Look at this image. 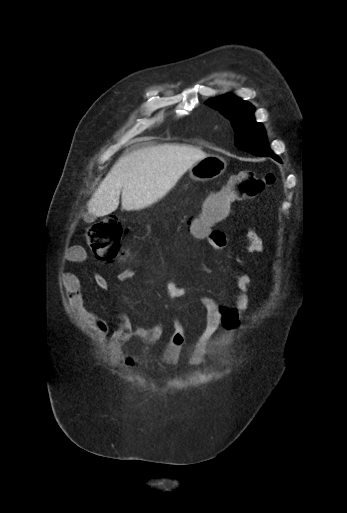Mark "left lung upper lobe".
Returning a JSON list of instances; mask_svg holds the SVG:
<instances>
[{"label":"left lung upper lobe","instance_id":"1","mask_svg":"<svg viewBox=\"0 0 347 513\" xmlns=\"http://www.w3.org/2000/svg\"><path fill=\"white\" fill-rule=\"evenodd\" d=\"M206 104L220 110L231 121L237 133L235 142L238 148L259 155L273 154L264 128L254 119V109L251 104L233 95H224L209 100Z\"/></svg>","mask_w":347,"mask_h":513}]
</instances>
